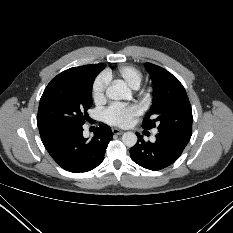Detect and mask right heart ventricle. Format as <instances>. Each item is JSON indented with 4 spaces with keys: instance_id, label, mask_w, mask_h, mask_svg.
<instances>
[{
    "instance_id": "obj_1",
    "label": "right heart ventricle",
    "mask_w": 233,
    "mask_h": 233,
    "mask_svg": "<svg viewBox=\"0 0 233 233\" xmlns=\"http://www.w3.org/2000/svg\"><path fill=\"white\" fill-rule=\"evenodd\" d=\"M108 78L111 72H105ZM118 75L132 88H137L142 81L141 72L132 65H123L118 68Z\"/></svg>"
}]
</instances>
